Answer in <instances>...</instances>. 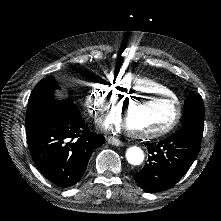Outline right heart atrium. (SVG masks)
I'll return each mask as SVG.
<instances>
[{
	"instance_id": "1",
	"label": "right heart atrium",
	"mask_w": 221,
	"mask_h": 221,
	"mask_svg": "<svg viewBox=\"0 0 221 221\" xmlns=\"http://www.w3.org/2000/svg\"><path fill=\"white\" fill-rule=\"evenodd\" d=\"M116 91L112 80L96 82L87 93V105L92 109H105L115 101Z\"/></svg>"
}]
</instances>
